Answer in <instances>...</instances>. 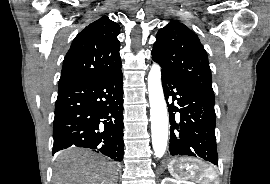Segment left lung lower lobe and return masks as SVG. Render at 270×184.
<instances>
[{"label":"left lung lower lobe","mask_w":270,"mask_h":184,"mask_svg":"<svg viewBox=\"0 0 270 184\" xmlns=\"http://www.w3.org/2000/svg\"><path fill=\"white\" fill-rule=\"evenodd\" d=\"M161 75L165 99L172 100L167 102L171 124L168 154L218 165L214 98L173 70L162 67Z\"/></svg>","instance_id":"obj_1"}]
</instances>
